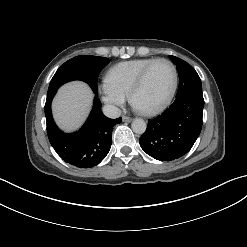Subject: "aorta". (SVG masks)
Wrapping results in <instances>:
<instances>
[{
  "mask_svg": "<svg viewBox=\"0 0 247 247\" xmlns=\"http://www.w3.org/2000/svg\"><path fill=\"white\" fill-rule=\"evenodd\" d=\"M132 130L137 134H143L146 130V123L143 119L137 118L131 124Z\"/></svg>",
  "mask_w": 247,
  "mask_h": 247,
  "instance_id": "aorta-1",
  "label": "aorta"
}]
</instances>
